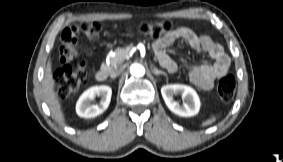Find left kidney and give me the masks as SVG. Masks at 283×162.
Instances as JSON below:
<instances>
[{"mask_svg": "<svg viewBox=\"0 0 283 162\" xmlns=\"http://www.w3.org/2000/svg\"><path fill=\"white\" fill-rule=\"evenodd\" d=\"M161 94L167 107L175 114L182 117H191L196 115L200 109V99L196 91L183 84H168L161 88ZM179 94L184 102L180 105L174 100L173 96Z\"/></svg>", "mask_w": 283, "mask_h": 162, "instance_id": "1", "label": "left kidney"}]
</instances>
